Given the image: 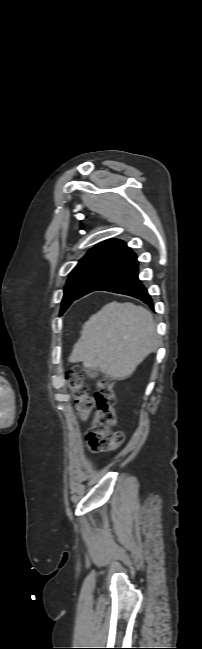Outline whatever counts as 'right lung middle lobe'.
<instances>
[{
    "label": "right lung middle lobe",
    "mask_w": 202,
    "mask_h": 649,
    "mask_svg": "<svg viewBox=\"0 0 202 649\" xmlns=\"http://www.w3.org/2000/svg\"><path fill=\"white\" fill-rule=\"evenodd\" d=\"M116 256L110 254H87L69 274L64 288L62 314L68 306L78 298L85 285Z\"/></svg>",
    "instance_id": "obj_1"
}]
</instances>
